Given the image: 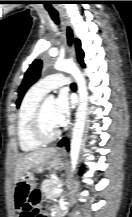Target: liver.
Returning a JSON list of instances; mask_svg holds the SVG:
<instances>
[{
  "mask_svg": "<svg viewBox=\"0 0 132 217\" xmlns=\"http://www.w3.org/2000/svg\"><path fill=\"white\" fill-rule=\"evenodd\" d=\"M56 153V148H41L20 156L15 165L14 182L31 168L46 164Z\"/></svg>",
  "mask_w": 132,
  "mask_h": 217,
  "instance_id": "obj_1",
  "label": "liver"
}]
</instances>
